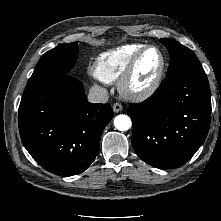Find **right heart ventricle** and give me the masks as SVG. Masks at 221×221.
Masks as SVG:
<instances>
[{
	"mask_svg": "<svg viewBox=\"0 0 221 221\" xmlns=\"http://www.w3.org/2000/svg\"><path fill=\"white\" fill-rule=\"evenodd\" d=\"M142 47L139 43L128 44L100 54L94 62L93 74L105 83L117 81Z\"/></svg>",
	"mask_w": 221,
	"mask_h": 221,
	"instance_id": "e07e8e85",
	"label": "right heart ventricle"
}]
</instances>
